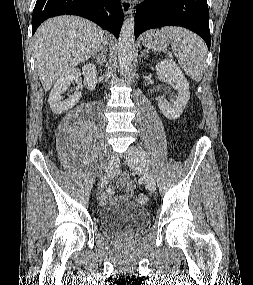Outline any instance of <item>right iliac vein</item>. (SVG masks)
<instances>
[{"label":"right iliac vein","instance_id":"right-iliac-vein-1","mask_svg":"<svg viewBox=\"0 0 253 285\" xmlns=\"http://www.w3.org/2000/svg\"><path fill=\"white\" fill-rule=\"evenodd\" d=\"M118 166H119V160L117 158H113L106 169L105 175L102 177L100 181L99 189L104 188V186L113 178V176L117 171Z\"/></svg>","mask_w":253,"mask_h":285}]
</instances>
